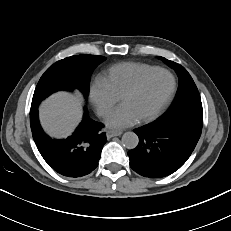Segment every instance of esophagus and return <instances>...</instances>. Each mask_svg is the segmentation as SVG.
Returning a JSON list of instances; mask_svg holds the SVG:
<instances>
[{"instance_id": "1", "label": "esophagus", "mask_w": 231, "mask_h": 231, "mask_svg": "<svg viewBox=\"0 0 231 231\" xmlns=\"http://www.w3.org/2000/svg\"><path fill=\"white\" fill-rule=\"evenodd\" d=\"M122 134V131H107L106 136L107 138H112L115 136H120Z\"/></svg>"}]
</instances>
